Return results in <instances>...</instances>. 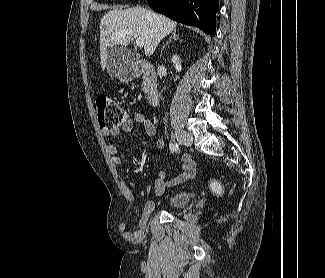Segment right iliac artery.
<instances>
[{
  "label": "right iliac artery",
  "instance_id": "1",
  "mask_svg": "<svg viewBox=\"0 0 325 278\" xmlns=\"http://www.w3.org/2000/svg\"><path fill=\"white\" fill-rule=\"evenodd\" d=\"M169 148H170V150L173 151V152H179V146H178V144L175 143V142H170V144H169Z\"/></svg>",
  "mask_w": 325,
  "mask_h": 278
}]
</instances>
